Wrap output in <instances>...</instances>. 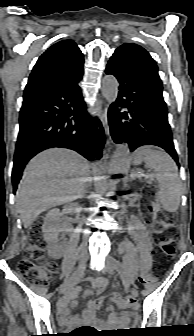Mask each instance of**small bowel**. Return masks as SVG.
Segmentation results:
<instances>
[{"instance_id": "1", "label": "small bowel", "mask_w": 194, "mask_h": 336, "mask_svg": "<svg viewBox=\"0 0 194 336\" xmlns=\"http://www.w3.org/2000/svg\"><path fill=\"white\" fill-rule=\"evenodd\" d=\"M130 234L133 238L136 250L138 252V258L132 259L133 264H138L143 273H148L151 268V239L146 226L137 218H133L129 227ZM108 287V281L106 279H99L94 284V290L97 294H100L105 288ZM90 292H88L89 294ZM111 299L115 300L118 304L123 305L124 302L119 293L113 292ZM105 301V297L100 296L95 300L89 301L87 308L83 313V321L87 324H92L94 321L95 311L102 306ZM75 305L74 297H67L60 303L59 317L61 322L70 326L80 322L78 318H73L70 315V308ZM108 322L110 324L115 323L120 318L126 319V317L119 316L112 306L108 307Z\"/></svg>"}]
</instances>
